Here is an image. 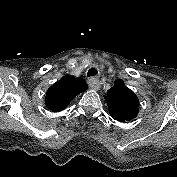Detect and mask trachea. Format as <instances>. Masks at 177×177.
<instances>
[{
  "label": "trachea",
  "mask_w": 177,
  "mask_h": 177,
  "mask_svg": "<svg viewBox=\"0 0 177 177\" xmlns=\"http://www.w3.org/2000/svg\"><path fill=\"white\" fill-rule=\"evenodd\" d=\"M96 74L97 70L95 68H91L87 73L88 77L95 76Z\"/></svg>",
  "instance_id": "trachea-1"
}]
</instances>
